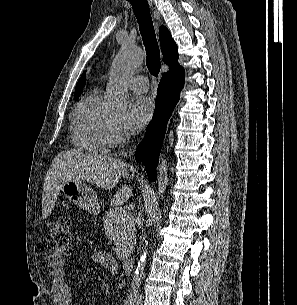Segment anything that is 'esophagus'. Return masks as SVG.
<instances>
[{
  "instance_id": "esophagus-1",
  "label": "esophagus",
  "mask_w": 297,
  "mask_h": 305,
  "mask_svg": "<svg viewBox=\"0 0 297 305\" xmlns=\"http://www.w3.org/2000/svg\"><path fill=\"white\" fill-rule=\"evenodd\" d=\"M148 2L152 6V4H153L152 0H148Z\"/></svg>"
}]
</instances>
